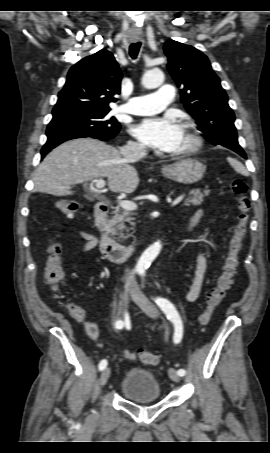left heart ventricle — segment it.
Segmentation results:
<instances>
[{
  "instance_id": "b2bd125f",
  "label": "left heart ventricle",
  "mask_w": 270,
  "mask_h": 453,
  "mask_svg": "<svg viewBox=\"0 0 270 453\" xmlns=\"http://www.w3.org/2000/svg\"><path fill=\"white\" fill-rule=\"evenodd\" d=\"M189 144H190V138H189L188 132L186 131V129H184L183 127L180 126V132H179L178 139H177L174 147L169 152L173 153V152L180 151V150L188 147Z\"/></svg>"
}]
</instances>
